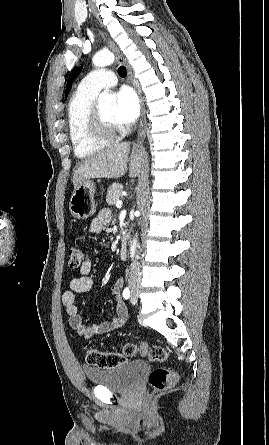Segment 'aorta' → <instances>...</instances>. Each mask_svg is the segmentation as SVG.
<instances>
[{
	"label": "aorta",
	"mask_w": 269,
	"mask_h": 445,
	"mask_svg": "<svg viewBox=\"0 0 269 445\" xmlns=\"http://www.w3.org/2000/svg\"><path fill=\"white\" fill-rule=\"evenodd\" d=\"M115 60L114 54L110 51H100L96 53L92 59V62L97 67H104L111 65ZM115 102V97L109 93H101L98 98L99 107H110ZM137 246V240L134 239L130 246V255L134 257Z\"/></svg>",
	"instance_id": "obj_1"
}]
</instances>
